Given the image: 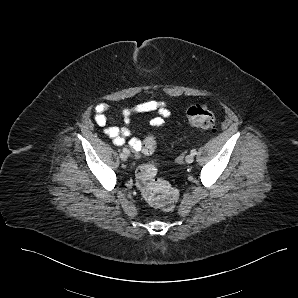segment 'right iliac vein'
<instances>
[{
    "label": "right iliac vein",
    "mask_w": 298,
    "mask_h": 298,
    "mask_svg": "<svg viewBox=\"0 0 298 298\" xmlns=\"http://www.w3.org/2000/svg\"><path fill=\"white\" fill-rule=\"evenodd\" d=\"M120 158H121V160L126 161L127 160V154H125L124 152H122L120 154Z\"/></svg>",
    "instance_id": "obj_1"
}]
</instances>
